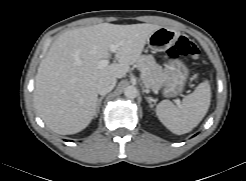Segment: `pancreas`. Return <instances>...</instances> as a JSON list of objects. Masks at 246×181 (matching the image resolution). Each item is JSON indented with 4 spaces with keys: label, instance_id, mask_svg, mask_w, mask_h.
Instances as JSON below:
<instances>
[{
    "label": "pancreas",
    "instance_id": "pancreas-1",
    "mask_svg": "<svg viewBox=\"0 0 246 181\" xmlns=\"http://www.w3.org/2000/svg\"><path fill=\"white\" fill-rule=\"evenodd\" d=\"M136 66L141 71L142 82L149 89L157 90L167 77V72L155 62L151 55H142L136 62Z\"/></svg>",
    "mask_w": 246,
    "mask_h": 181
}]
</instances>
